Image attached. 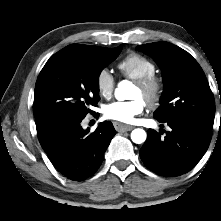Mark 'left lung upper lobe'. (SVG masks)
Masks as SVG:
<instances>
[{
  "instance_id": "left-lung-upper-lobe-1",
  "label": "left lung upper lobe",
  "mask_w": 221,
  "mask_h": 221,
  "mask_svg": "<svg viewBox=\"0 0 221 221\" xmlns=\"http://www.w3.org/2000/svg\"><path fill=\"white\" fill-rule=\"evenodd\" d=\"M137 49L154 58L161 68L164 91L154 112L159 122L190 119L212 129L215 101L206 76L185 50L168 42L139 45Z\"/></svg>"
}]
</instances>
